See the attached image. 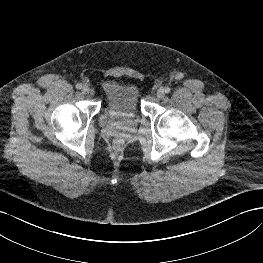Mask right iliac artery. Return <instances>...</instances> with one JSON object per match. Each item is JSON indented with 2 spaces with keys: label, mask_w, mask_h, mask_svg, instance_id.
Here are the masks:
<instances>
[{
  "label": "right iliac artery",
  "mask_w": 263,
  "mask_h": 263,
  "mask_svg": "<svg viewBox=\"0 0 263 263\" xmlns=\"http://www.w3.org/2000/svg\"><path fill=\"white\" fill-rule=\"evenodd\" d=\"M76 88H77V89H81V88H82V85H81L80 83H77V84H76Z\"/></svg>",
  "instance_id": "right-iliac-artery-1"
}]
</instances>
